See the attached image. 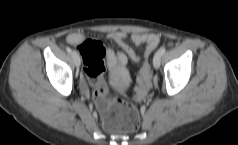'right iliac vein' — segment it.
Segmentation results:
<instances>
[{"label":"right iliac vein","mask_w":238,"mask_h":145,"mask_svg":"<svg viewBox=\"0 0 238 145\" xmlns=\"http://www.w3.org/2000/svg\"><path fill=\"white\" fill-rule=\"evenodd\" d=\"M72 57H73V61H74L75 66L78 68L81 64V60H80V56H79L78 52L73 51L72 52Z\"/></svg>","instance_id":"obj_1"}]
</instances>
